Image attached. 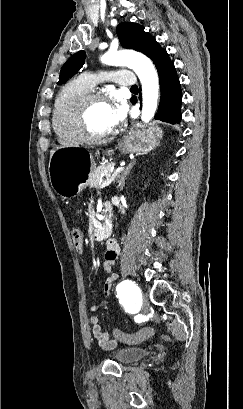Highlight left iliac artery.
Returning a JSON list of instances; mask_svg holds the SVG:
<instances>
[{
    "label": "left iliac artery",
    "mask_w": 243,
    "mask_h": 409,
    "mask_svg": "<svg viewBox=\"0 0 243 409\" xmlns=\"http://www.w3.org/2000/svg\"><path fill=\"white\" fill-rule=\"evenodd\" d=\"M117 294L119 299L125 300V298H128L133 303H136V305L141 303L140 289L129 280H125L117 286Z\"/></svg>",
    "instance_id": "44dca946"
}]
</instances>
